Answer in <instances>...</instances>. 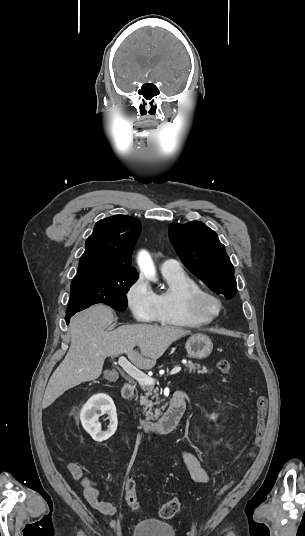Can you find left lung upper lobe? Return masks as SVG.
Here are the masks:
<instances>
[{"label":"left lung upper lobe","mask_w":305,"mask_h":536,"mask_svg":"<svg viewBox=\"0 0 305 536\" xmlns=\"http://www.w3.org/2000/svg\"><path fill=\"white\" fill-rule=\"evenodd\" d=\"M169 239L185 266L211 290L231 299L237 292L234 268L217 234L204 223H172Z\"/></svg>","instance_id":"left-lung-upper-lobe-1"}]
</instances>
